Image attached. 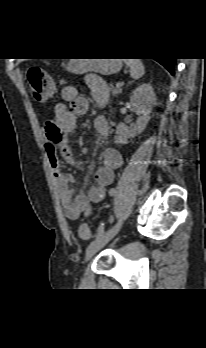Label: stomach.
<instances>
[{
    "mask_svg": "<svg viewBox=\"0 0 206 348\" xmlns=\"http://www.w3.org/2000/svg\"><path fill=\"white\" fill-rule=\"evenodd\" d=\"M122 67L119 59H71L67 69L74 74L97 72L110 75L118 72Z\"/></svg>",
    "mask_w": 206,
    "mask_h": 348,
    "instance_id": "0dacf381",
    "label": "stomach"
}]
</instances>
